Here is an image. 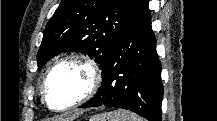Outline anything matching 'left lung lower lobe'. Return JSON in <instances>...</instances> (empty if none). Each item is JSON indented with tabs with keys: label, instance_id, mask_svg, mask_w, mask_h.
I'll list each match as a JSON object with an SVG mask.
<instances>
[{
	"label": "left lung lower lobe",
	"instance_id": "0a47b994",
	"mask_svg": "<svg viewBox=\"0 0 217 121\" xmlns=\"http://www.w3.org/2000/svg\"><path fill=\"white\" fill-rule=\"evenodd\" d=\"M102 85L81 108L111 106L161 121L163 85L148 0H142L102 68Z\"/></svg>",
	"mask_w": 217,
	"mask_h": 121
}]
</instances>
